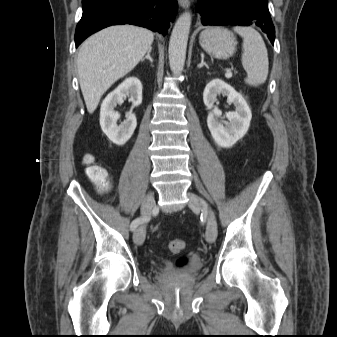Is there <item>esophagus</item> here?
<instances>
[{
    "label": "esophagus",
    "instance_id": "obj_1",
    "mask_svg": "<svg viewBox=\"0 0 337 337\" xmlns=\"http://www.w3.org/2000/svg\"><path fill=\"white\" fill-rule=\"evenodd\" d=\"M178 3L182 8H188L190 6L189 0H178Z\"/></svg>",
    "mask_w": 337,
    "mask_h": 337
}]
</instances>
